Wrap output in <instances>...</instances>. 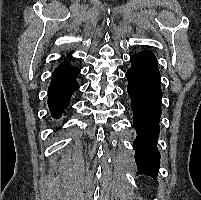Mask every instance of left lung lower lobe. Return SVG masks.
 I'll return each instance as SVG.
<instances>
[{
  "instance_id": "1",
  "label": "left lung lower lobe",
  "mask_w": 201,
  "mask_h": 200,
  "mask_svg": "<svg viewBox=\"0 0 201 200\" xmlns=\"http://www.w3.org/2000/svg\"><path fill=\"white\" fill-rule=\"evenodd\" d=\"M131 67L126 72L127 91L131 97L134 128L137 138L133 142L138 174L156 179L160 153L156 141L159 134L162 90L160 72L155 55L142 51L130 57Z\"/></svg>"
}]
</instances>
